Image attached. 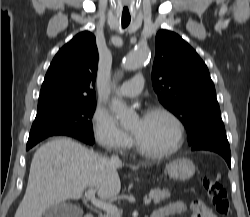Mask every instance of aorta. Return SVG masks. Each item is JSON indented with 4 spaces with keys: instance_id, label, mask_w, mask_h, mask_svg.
I'll return each mask as SVG.
<instances>
[{
    "instance_id": "aorta-1",
    "label": "aorta",
    "mask_w": 250,
    "mask_h": 217,
    "mask_svg": "<svg viewBox=\"0 0 250 217\" xmlns=\"http://www.w3.org/2000/svg\"><path fill=\"white\" fill-rule=\"evenodd\" d=\"M149 54L150 50L144 45L132 50L126 56L123 68L126 70H135L139 68L148 59ZM110 108L123 126H128L133 122V113L122 100L116 98L112 99Z\"/></svg>"
}]
</instances>
